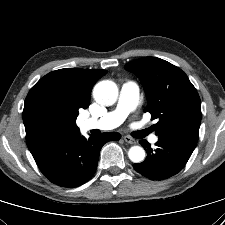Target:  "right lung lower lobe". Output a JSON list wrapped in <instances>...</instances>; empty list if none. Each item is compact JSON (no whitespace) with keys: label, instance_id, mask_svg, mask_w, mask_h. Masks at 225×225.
<instances>
[{"label":"right lung lower lobe","instance_id":"1","mask_svg":"<svg viewBox=\"0 0 225 225\" xmlns=\"http://www.w3.org/2000/svg\"><path fill=\"white\" fill-rule=\"evenodd\" d=\"M120 138L117 132H107L86 139L76 130L47 134L27 146L41 172L52 183L78 187L94 175L102 146Z\"/></svg>","mask_w":225,"mask_h":225}]
</instances>
